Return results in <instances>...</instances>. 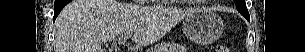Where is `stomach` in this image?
Listing matches in <instances>:
<instances>
[{
    "label": "stomach",
    "mask_w": 305,
    "mask_h": 52,
    "mask_svg": "<svg viewBox=\"0 0 305 52\" xmlns=\"http://www.w3.org/2000/svg\"><path fill=\"white\" fill-rule=\"evenodd\" d=\"M182 30L189 40L208 44L220 36L223 21L219 15L208 9L196 8L184 17Z\"/></svg>",
    "instance_id": "obj_1"
}]
</instances>
